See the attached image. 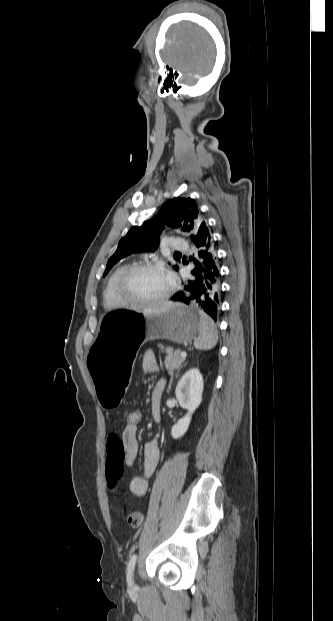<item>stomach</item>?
<instances>
[{"label":"stomach","instance_id":"obj_1","mask_svg":"<svg viewBox=\"0 0 333 621\" xmlns=\"http://www.w3.org/2000/svg\"><path fill=\"white\" fill-rule=\"evenodd\" d=\"M199 311L174 303L167 311L145 316L129 310L102 315L99 334L88 348L94 395L106 412H115L130 385L138 348L149 340L191 342L199 333Z\"/></svg>","mask_w":333,"mask_h":621}]
</instances>
